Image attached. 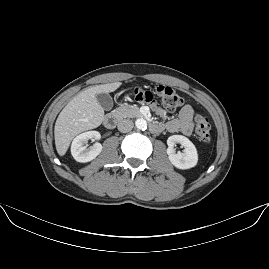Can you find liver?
I'll return each instance as SVG.
<instances>
[{
    "label": "liver",
    "mask_w": 269,
    "mask_h": 269,
    "mask_svg": "<svg viewBox=\"0 0 269 269\" xmlns=\"http://www.w3.org/2000/svg\"><path fill=\"white\" fill-rule=\"evenodd\" d=\"M121 82L90 87L74 97L60 112L54 129L55 145L60 156L65 155L71 141L79 133L97 128L104 120V110L96 95L115 91Z\"/></svg>",
    "instance_id": "6515ba94"
}]
</instances>
